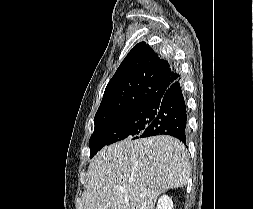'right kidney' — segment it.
<instances>
[{"instance_id":"right-kidney-1","label":"right kidney","mask_w":253,"mask_h":209,"mask_svg":"<svg viewBox=\"0 0 253 209\" xmlns=\"http://www.w3.org/2000/svg\"><path fill=\"white\" fill-rule=\"evenodd\" d=\"M156 209H173L172 199L166 195H163L158 200V205Z\"/></svg>"}]
</instances>
